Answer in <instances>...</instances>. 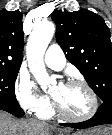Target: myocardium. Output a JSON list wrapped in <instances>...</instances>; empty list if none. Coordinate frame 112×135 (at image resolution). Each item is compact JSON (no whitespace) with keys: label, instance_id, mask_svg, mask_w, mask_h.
Returning <instances> with one entry per match:
<instances>
[{"label":"myocardium","instance_id":"1","mask_svg":"<svg viewBox=\"0 0 112 135\" xmlns=\"http://www.w3.org/2000/svg\"><path fill=\"white\" fill-rule=\"evenodd\" d=\"M65 84L79 85V86L84 87L89 95L90 109L84 115H80V116L73 115V114H70V113H67L66 111H64L60 107L58 102L55 100V98L51 97L52 110L58 116L66 119V120H70V121H74V122H84V121H87V120H90L91 118H93L95 116V114L97 113L98 107H99L98 98H97V95H96L95 91L93 90V88L86 81L81 80V79H70Z\"/></svg>","mask_w":112,"mask_h":135}]
</instances>
